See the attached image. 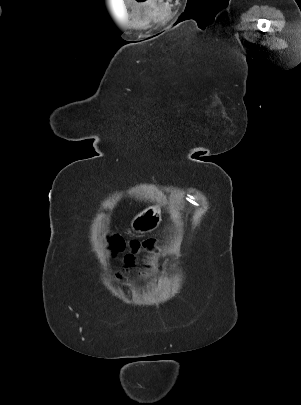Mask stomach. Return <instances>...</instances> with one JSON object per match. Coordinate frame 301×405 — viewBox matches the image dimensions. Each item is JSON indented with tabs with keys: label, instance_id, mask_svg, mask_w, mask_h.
Instances as JSON below:
<instances>
[{
	"label": "stomach",
	"instance_id": "0dacf381",
	"mask_svg": "<svg viewBox=\"0 0 301 405\" xmlns=\"http://www.w3.org/2000/svg\"><path fill=\"white\" fill-rule=\"evenodd\" d=\"M160 221L161 217L158 209L149 207L133 218L131 228L139 233L149 232L154 230Z\"/></svg>",
	"mask_w": 301,
	"mask_h": 405
}]
</instances>
